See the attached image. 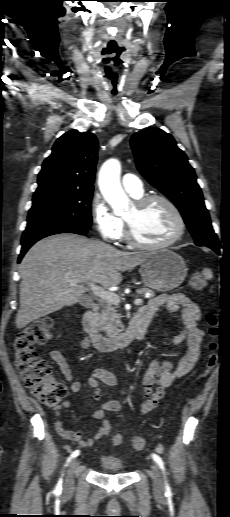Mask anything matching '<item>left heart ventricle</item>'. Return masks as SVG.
Segmentation results:
<instances>
[{"label":"left heart ventricle","mask_w":230,"mask_h":517,"mask_svg":"<svg viewBox=\"0 0 230 517\" xmlns=\"http://www.w3.org/2000/svg\"><path fill=\"white\" fill-rule=\"evenodd\" d=\"M124 218L133 226L136 237L145 243L164 242L177 230L174 215L161 201H153L141 209L134 205Z\"/></svg>","instance_id":"1"}]
</instances>
